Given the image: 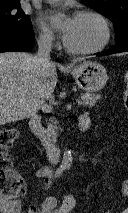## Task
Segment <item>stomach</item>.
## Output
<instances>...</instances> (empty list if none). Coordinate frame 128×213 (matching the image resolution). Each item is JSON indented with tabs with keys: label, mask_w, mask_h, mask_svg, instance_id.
I'll return each mask as SVG.
<instances>
[{
	"label": "stomach",
	"mask_w": 128,
	"mask_h": 213,
	"mask_svg": "<svg viewBox=\"0 0 128 213\" xmlns=\"http://www.w3.org/2000/svg\"><path fill=\"white\" fill-rule=\"evenodd\" d=\"M72 75L79 88L86 92L101 90L108 80L105 67L97 62H83L73 68Z\"/></svg>",
	"instance_id": "stomach-1"
}]
</instances>
